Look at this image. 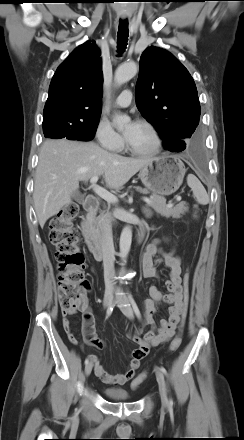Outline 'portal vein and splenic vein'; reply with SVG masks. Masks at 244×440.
<instances>
[{"label":"portal vein and splenic vein","mask_w":244,"mask_h":440,"mask_svg":"<svg viewBox=\"0 0 244 440\" xmlns=\"http://www.w3.org/2000/svg\"><path fill=\"white\" fill-rule=\"evenodd\" d=\"M99 179V176H93L90 179V183H91V187L94 190V192L101 197L102 199H104L105 201H107L108 203H117L118 202V198L113 195L112 193L108 192L106 189L100 187L99 185H97V181ZM142 200L144 202H146L147 204H151L152 201L151 199L147 198V197H143ZM177 200H181V197L178 196Z\"/></svg>","instance_id":"portal-vein-and-splenic-vein-1"}]
</instances>
